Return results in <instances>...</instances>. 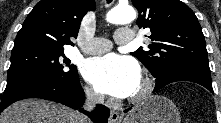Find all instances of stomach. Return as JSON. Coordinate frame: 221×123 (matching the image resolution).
Masks as SVG:
<instances>
[{
  "mask_svg": "<svg viewBox=\"0 0 221 123\" xmlns=\"http://www.w3.org/2000/svg\"><path fill=\"white\" fill-rule=\"evenodd\" d=\"M176 105L166 97L152 95L134 106L122 123H180Z\"/></svg>",
  "mask_w": 221,
  "mask_h": 123,
  "instance_id": "stomach-1",
  "label": "stomach"
}]
</instances>
